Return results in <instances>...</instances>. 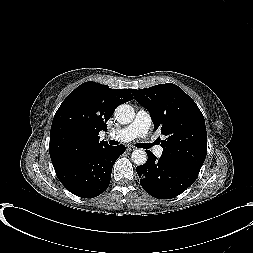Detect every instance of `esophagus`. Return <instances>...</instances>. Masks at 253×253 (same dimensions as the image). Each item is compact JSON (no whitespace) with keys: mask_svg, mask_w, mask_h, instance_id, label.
Instances as JSON below:
<instances>
[{"mask_svg":"<svg viewBox=\"0 0 253 253\" xmlns=\"http://www.w3.org/2000/svg\"><path fill=\"white\" fill-rule=\"evenodd\" d=\"M136 148L134 147V146H128V148H127V150H129V151H133V150H135Z\"/></svg>","mask_w":253,"mask_h":253,"instance_id":"obj_1","label":"esophagus"}]
</instances>
